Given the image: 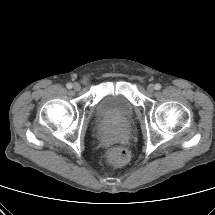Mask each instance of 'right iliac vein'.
Here are the masks:
<instances>
[{
  "instance_id": "obj_1",
  "label": "right iliac vein",
  "mask_w": 215,
  "mask_h": 215,
  "mask_svg": "<svg viewBox=\"0 0 215 215\" xmlns=\"http://www.w3.org/2000/svg\"><path fill=\"white\" fill-rule=\"evenodd\" d=\"M73 89H74L75 91H79V90L81 89L80 84H79V83H74Z\"/></svg>"
}]
</instances>
